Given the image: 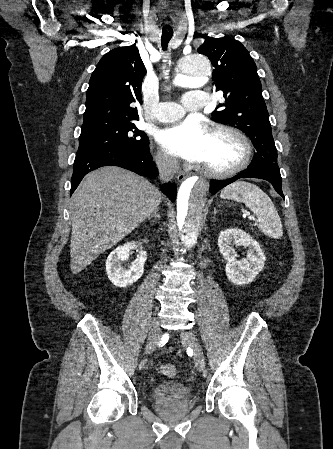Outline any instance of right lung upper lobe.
Listing matches in <instances>:
<instances>
[{
	"mask_svg": "<svg viewBox=\"0 0 333 449\" xmlns=\"http://www.w3.org/2000/svg\"><path fill=\"white\" fill-rule=\"evenodd\" d=\"M146 68L136 46L105 54L89 81L82 126L139 119L134 103H141Z\"/></svg>",
	"mask_w": 333,
	"mask_h": 449,
	"instance_id": "obj_1",
	"label": "right lung upper lobe"
}]
</instances>
